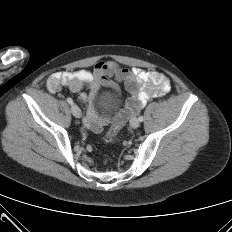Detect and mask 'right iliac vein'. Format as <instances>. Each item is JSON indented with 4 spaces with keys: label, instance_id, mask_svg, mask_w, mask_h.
<instances>
[{
    "label": "right iliac vein",
    "instance_id": "63e3f726",
    "mask_svg": "<svg viewBox=\"0 0 232 232\" xmlns=\"http://www.w3.org/2000/svg\"><path fill=\"white\" fill-rule=\"evenodd\" d=\"M71 112L74 115V117H76V118H80L81 117V110H80V108L77 105L73 104L71 106Z\"/></svg>",
    "mask_w": 232,
    "mask_h": 232
}]
</instances>
